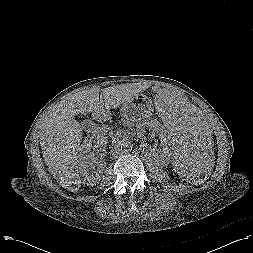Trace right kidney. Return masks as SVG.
<instances>
[{
	"label": "right kidney",
	"instance_id": "ca27d5eb",
	"mask_svg": "<svg viewBox=\"0 0 253 253\" xmlns=\"http://www.w3.org/2000/svg\"><path fill=\"white\" fill-rule=\"evenodd\" d=\"M106 138L100 135L85 137L78 151V171L84 183L94 186L100 181V174L93 171L97 156L105 151Z\"/></svg>",
	"mask_w": 253,
	"mask_h": 253
}]
</instances>
